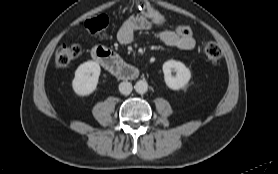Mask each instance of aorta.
Here are the masks:
<instances>
[{"label":"aorta","mask_w":278,"mask_h":174,"mask_svg":"<svg viewBox=\"0 0 278 174\" xmlns=\"http://www.w3.org/2000/svg\"><path fill=\"white\" fill-rule=\"evenodd\" d=\"M134 89L139 94H144L148 90V83L145 80H139L136 82Z\"/></svg>","instance_id":"1"}]
</instances>
